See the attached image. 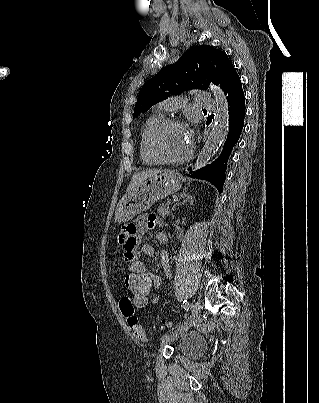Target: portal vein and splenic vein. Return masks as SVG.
<instances>
[{
	"label": "portal vein and splenic vein",
	"mask_w": 319,
	"mask_h": 403,
	"mask_svg": "<svg viewBox=\"0 0 319 403\" xmlns=\"http://www.w3.org/2000/svg\"><path fill=\"white\" fill-rule=\"evenodd\" d=\"M167 205H171V201H168V202H167Z\"/></svg>",
	"instance_id": "portal-vein-and-splenic-vein-1"
}]
</instances>
